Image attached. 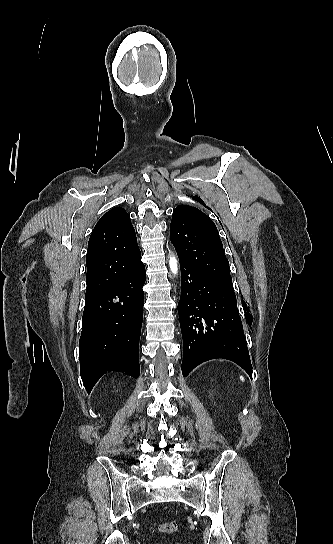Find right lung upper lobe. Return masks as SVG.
I'll use <instances>...</instances> for the list:
<instances>
[{"instance_id": "cb5924a9", "label": "right lung upper lobe", "mask_w": 333, "mask_h": 544, "mask_svg": "<svg viewBox=\"0 0 333 544\" xmlns=\"http://www.w3.org/2000/svg\"><path fill=\"white\" fill-rule=\"evenodd\" d=\"M85 298L100 294L142 264L129 214L115 207L102 216L92 231L86 257Z\"/></svg>"}]
</instances>
